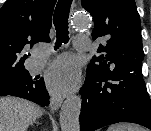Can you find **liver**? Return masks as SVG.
Segmentation results:
<instances>
[{
    "label": "liver",
    "mask_w": 151,
    "mask_h": 131,
    "mask_svg": "<svg viewBox=\"0 0 151 131\" xmlns=\"http://www.w3.org/2000/svg\"><path fill=\"white\" fill-rule=\"evenodd\" d=\"M43 114L36 104L21 98H0V131H27Z\"/></svg>",
    "instance_id": "liver-1"
}]
</instances>
